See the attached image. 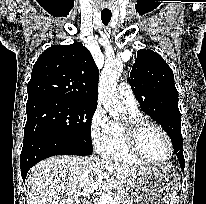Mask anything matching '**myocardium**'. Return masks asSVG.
Returning <instances> with one entry per match:
<instances>
[{
	"label": "myocardium",
	"instance_id": "myocardium-1",
	"mask_svg": "<svg viewBox=\"0 0 206 204\" xmlns=\"http://www.w3.org/2000/svg\"><path fill=\"white\" fill-rule=\"evenodd\" d=\"M152 127L159 131L164 138L166 139V142L169 147V155L168 157L163 161H154L147 157L145 153L143 152L140 144V138L142 132L148 128ZM123 132L127 141V144L132 151L134 155H136L139 159L144 161L145 163L151 164V165H164L168 163L174 155V147L172 140L169 136V134L165 131L163 127L158 125L157 123L153 122L152 120L140 116V117H128V119L122 124Z\"/></svg>",
	"mask_w": 206,
	"mask_h": 204
}]
</instances>
